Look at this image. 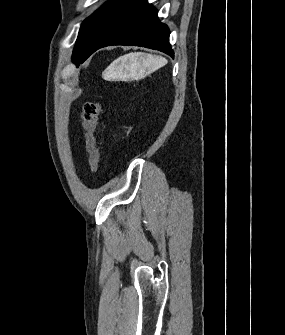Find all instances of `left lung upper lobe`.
<instances>
[{"label": "left lung upper lobe", "instance_id": "5c2ea615", "mask_svg": "<svg viewBox=\"0 0 285 335\" xmlns=\"http://www.w3.org/2000/svg\"><path fill=\"white\" fill-rule=\"evenodd\" d=\"M111 0H109L108 2H106L105 4H103L98 10H96L90 17H88L81 25L79 34H78V38L74 47V51H73V62L77 65L78 61H79V51L81 49V45H82V41L83 38L88 30V28L91 26V24L93 23V21L95 20V18L98 16V14L102 11V9L110 2Z\"/></svg>", "mask_w": 285, "mask_h": 335}]
</instances>
